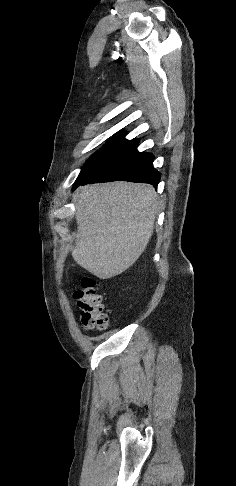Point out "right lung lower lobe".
I'll use <instances>...</instances> for the list:
<instances>
[{"label":"right lung lower lobe","instance_id":"right-lung-lower-lobe-1","mask_svg":"<svg viewBox=\"0 0 236 486\" xmlns=\"http://www.w3.org/2000/svg\"><path fill=\"white\" fill-rule=\"evenodd\" d=\"M137 144V140L129 141L73 189L79 185L116 180L149 183L157 187L160 173L153 168L154 156L150 153L138 152Z\"/></svg>","mask_w":236,"mask_h":486}]
</instances>
